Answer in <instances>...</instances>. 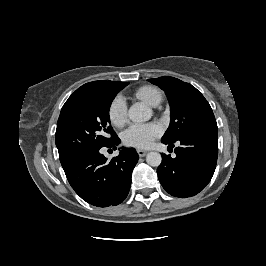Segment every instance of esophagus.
I'll return each instance as SVG.
<instances>
[{"instance_id":"34e87169","label":"esophagus","mask_w":266,"mask_h":266,"mask_svg":"<svg viewBox=\"0 0 266 266\" xmlns=\"http://www.w3.org/2000/svg\"><path fill=\"white\" fill-rule=\"evenodd\" d=\"M137 153H138L139 157H144L147 154V151L138 149Z\"/></svg>"}]
</instances>
